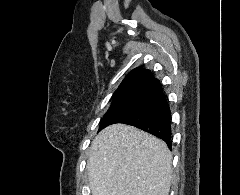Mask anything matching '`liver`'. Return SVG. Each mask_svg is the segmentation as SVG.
Wrapping results in <instances>:
<instances>
[{
  "instance_id": "obj_1",
  "label": "liver",
  "mask_w": 240,
  "mask_h": 195,
  "mask_svg": "<svg viewBox=\"0 0 240 195\" xmlns=\"http://www.w3.org/2000/svg\"><path fill=\"white\" fill-rule=\"evenodd\" d=\"M172 153L165 141L133 125L99 131L87 159L92 195H169Z\"/></svg>"
}]
</instances>
